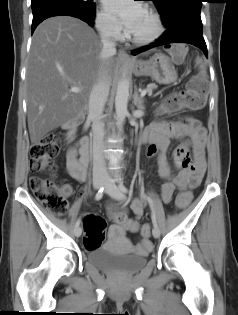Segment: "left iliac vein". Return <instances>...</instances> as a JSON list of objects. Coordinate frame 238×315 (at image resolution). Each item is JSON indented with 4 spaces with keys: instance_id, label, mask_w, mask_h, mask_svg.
Returning a JSON list of instances; mask_svg holds the SVG:
<instances>
[{
    "instance_id": "obj_1",
    "label": "left iliac vein",
    "mask_w": 238,
    "mask_h": 315,
    "mask_svg": "<svg viewBox=\"0 0 238 315\" xmlns=\"http://www.w3.org/2000/svg\"><path fill=\"white\" fill-rule=\"evenodd\" d=\"M105 191L106 193L111 196L113 199L116 200H123L125 198V195L123 192L118 188L116 183L110 179L109 177L105 178V183H104ZM152 234L154 238H159L160 236V230L158 227H154L152 230Z\"/></svg>"
}]
</instances>
